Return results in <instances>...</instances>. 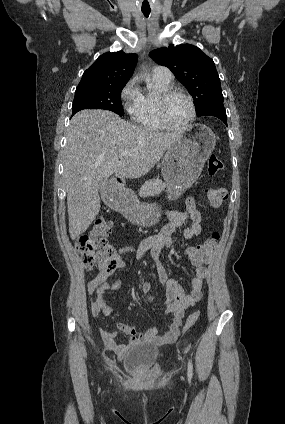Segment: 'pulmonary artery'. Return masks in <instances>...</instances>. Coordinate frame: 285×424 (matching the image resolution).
Listing matches in <instances>:
<instances>
[{
    "label": "pulmonary artery",
    "mask_w": 285,
    "mask_h": 424,
    "mask_svg": "<svg viewBox=\"0 0 285 424\" xmlns=\"http://www.w3.org/2000/svg\"><path fill=\"white\" fill-rule=\"evenodd\" d=\"M152 75L157 80L163 82V83H170L172 80V73L171 71L164 66H157L154 67L152 70Z\"/></svg>",
    "instance_id": "e3ab8cb5"
}]
</instances>
